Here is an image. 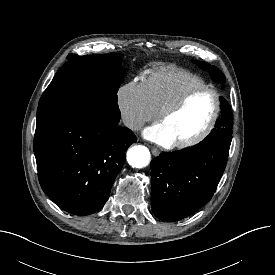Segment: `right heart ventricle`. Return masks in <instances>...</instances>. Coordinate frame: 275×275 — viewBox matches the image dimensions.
<instances>
[{"label": "right heart ventricle", "mask_w": 275, "mask_h": 275, "mask_svg": "<svg viewBox=\"0 0 275 275\" xmlns=\"http://www.w3.org/2000/svg\"><path fill=\"white\" fill-rule=\"evenodd\" d=\"M143 85L153 109L159 113L186 91L206 84L203 78L187 70L166 67L149 71Z\"/></svg>", "instance_id": "right-heart-ventricle-1"}]
</instances>
